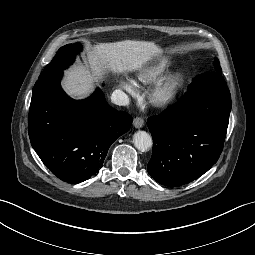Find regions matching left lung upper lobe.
Here are the masks:
<instances>
[{
    "mask_svg": "<svg viewBox=\"0 0 255 255\" xmlns=\"http://www.w3.org/2000/svg\"><path fill=\"white\" fill-rule=\"evenodd\" d=\"M214 65H215V68H216L217 72L221 73V67H220V64H219V60L216 57L214 59Z\"/></svg>",
    "mask_w": 255,
    "mask_h": 255,
    "instance_id": "left-lung-upper-lobe-1",
    "label": "left lung upper lobe"
}]
</instances>
